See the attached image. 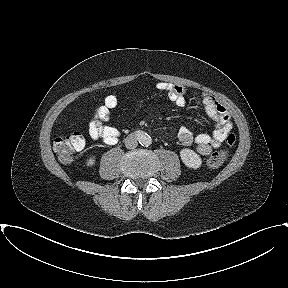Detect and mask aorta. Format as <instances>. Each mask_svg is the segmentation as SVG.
Segmentation results:
<instances>
[{"instance_id":"aorta-1","label":"aorta","mask_w":288,"mask_h":288,"mask_svg":"<svg viewBox=\"0 0 288 288\" xmlns=\"http://www.w3.org/2000/svg\"><path fill=\"white\" fill-rule=\"evenodd\" d=\"M139 142L142 146H149L152 143V138L148 134H143L139 138Z\"/></svg>"}]
</instances>
